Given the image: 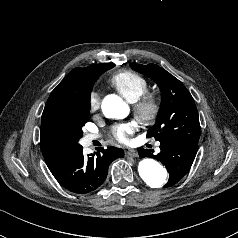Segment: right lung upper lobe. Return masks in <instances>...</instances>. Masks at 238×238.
Instances as JSON below:
<instances>
[{"label":"right lung upper lobe","mask_w":238,"mask_h":238,"mask_svg":"<svg viewBox=\"0 0 238 238\" xmlns=\"http://www.w3.org/2000/svg\"><path fill=\"white\" fill-rule=\"evenodd\" d=\"M100 65V64H97ZM91 65L86 68L73 69L51 92L45 105L40 131V147L47 166H52L60 162L70 153L77 149L66 140L50 132L46 126V119L50 112L63 103L68 96L73 92L76 81L83 75L92 71L95 66Z\"/></svg>","instance_id":"obj_1"}]
</instances>
